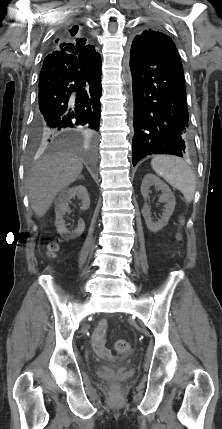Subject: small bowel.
Masks as SVG:
<instances>
[{"label":"small bowel","mask_w":222,"mask_h":429,"mask_svg":"<svg viewBox=\"0 0 222 429\" xmlns=\"http://www.w3.org/2000/svg\"><path fill=\"white\" fill-rule=\"evenodd\" d=\"M106 330L107 322L106 320H102L92 335L91 343L93 350L98 356L109 359L112 357V354L110 349L106 346Z\"/></svg>","instance_id":"c3829d8e"}]
</instances>
